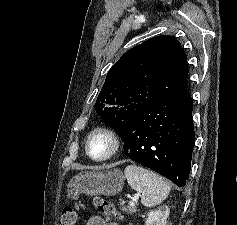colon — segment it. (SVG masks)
<instances>
[{
  "label": "colon",
  "instance_id": "1",
  "mask_svg": "<svg viewBox=\"0 0 237 225\" xmlns=\"http://www.w3.org/2000/svg\"><path fill=\"white\" fill-rule=\"evenodd\" d=\"M94 206L103 214L114 216L118 219L121 218V214L117 211L115 206L108 200L95 197L93 200ZM78 222L77 212L72 207H65L61 216V225H76Z\"/></svg>",
  "mask_w": 237,
  "mask_h": 225
}]
</instances>
